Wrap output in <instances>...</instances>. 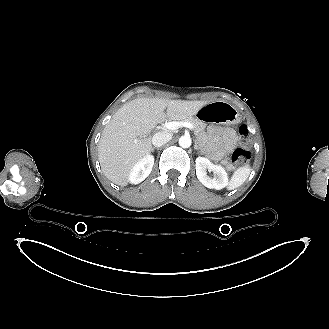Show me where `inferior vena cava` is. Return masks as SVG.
Segmentation results:
<instances>
[{
  "label": "inferior vena cava",
  "instance_id": "obj_1",
  "mask_svg": "<svg viewBox=\"0 0 329 329\" xmlns=\"http://www.w3.org/2000/svg\"><path fill=\"white\" fill-rule=\"evenodd\" d=\"M172 139V134L169 132H157L152 138V143L155 147H161Z\"/></svg>",
  "mask_w": 329,
  "mask_h": 329
}]
</instances>
